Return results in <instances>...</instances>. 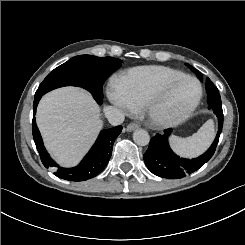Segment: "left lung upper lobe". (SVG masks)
Instances as JSON below:
<instances>
[{"mask_svg": "<svg viewBox=\"0 0 245 245\" xmlns=\"http://www.w3.org/2000/svg\"><path fill=\"white\" fill-rule=\"evenodd\" d=\"M187 66L190 67V69H191L197 76L201 75V73H200L198 70H196L195 68H193L192 66H190V65H188V64H187Z\"/></svg>", "mask_w": 245, "mask_h": 245, "instance_id": "1", "label": "left lung upper lobe"}]
</instances>
